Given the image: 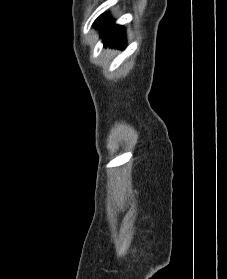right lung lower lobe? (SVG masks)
Here are the masks:
<instances>
[{
    "label": "right lung lower lobe",
    "mask_w": 227,
    "mask_h": 279,
    "mask_svg": "<svg viewBox=\"0 0 227 279\" xmlns=\"http://www.w3.org/2000/svg\"><path fill=\"white\" fill-rule=\"evenodd\" d=\"M95 27L101 29V37L104 45L114 46L122 49L125 46V29L123 26L113 24L106 15H101L94 23Z\"/></svg>",
    "instance_id": "right-lung-lower-lobe-1"
}]
</instances>
